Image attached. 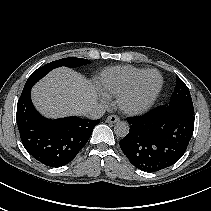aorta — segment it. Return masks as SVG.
<instances>
[{
    "mask_svg": "<svg viewBox=\"0 0 211 211\" xmlns=\"http://www.w3.org/2000/svg\"><path fill=\"white\" fill-rule=\"evenodd\" d=\"M114 133L118 137H125L129 133V125L126 122H118L114 126Z\"/></svg>",
    "mask_w": 211,
    "mask_h": 211,
    "instance_id": "aorta-1",
    "label": "aorta"
}]
</instances>
